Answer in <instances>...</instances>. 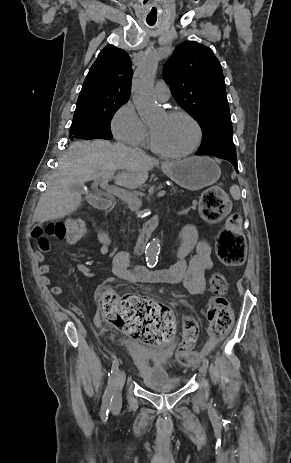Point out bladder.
Masks as SVG:
<instances>
[{
    "label": "bladder",
    "instance_id": "bladder-1",
    "mask_svg": "<svg viewBox=\"0 0 291 463\" xmlns=\"http://www.w3.org/2000/svg\"><path fill=\"white\" fill-rule=\"evenodd\" d=\"M124 347L137 364V375L141 383L149 389L180 388L184 378L171 374L168 369L169 356H160L149 346L136 339H124Z\"/></svg>",
    "mask_w": 291,
    "mask_h": 463
}]
</instances>
